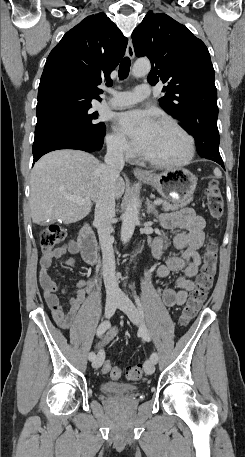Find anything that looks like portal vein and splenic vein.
I'll return each instance as SVG.
<instances>
[{"label": "portal vein and splenic vein", "instance_id": "obj_1", "mask_svg": "<svg viewBox=\"0 0 245 457\" xmlns=\"http://www.w3.org/2000/svg\"><path fill=\"white\" fill-rule=\"evenodd\" d=\"M68 200H72V202H77V204H91V200L89 198H81V196H67ZM162 200L160 198H157V200H154V204H161Z\"/></svg>", "mask_w": 245, "mask_h": 457}]
</instances>
